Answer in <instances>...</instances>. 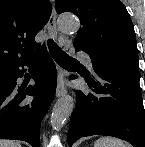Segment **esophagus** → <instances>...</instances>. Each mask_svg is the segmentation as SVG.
I'll return each instance as SVG.
<instances>
[{
    "instance_id": "1",
    "label": "esophagus",
    "mask_w": 145,
    "mask_h": 147,
    "mask_svg": "<svg viewBox=\"0 0 145 147\" xmlns=\"http://www.w3.org/2000/svg\"><path fill=\"white\" fill-rule=\"evenodd\" d=\"M56 19H57V13H56L55 7H53L51 16L48 21V29L55 39H57V34H58ZM63 82H64V75L60 74L59 75V83H58L57 90H56V97L57 98L64 96L67 92Z\"/></svg>"
}]
</instances>
